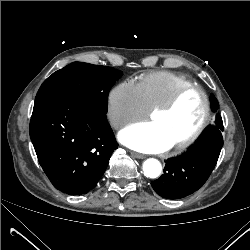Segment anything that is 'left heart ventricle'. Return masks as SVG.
Here are the masks:
<instances>
[{
  "label": "left heart ventricle",
  "mask_w": 250,
  "mask_h": 250,
  "mask_svg": "<svg viewBox=\"0 0 250 250\" xmlns=\"http://www.w3.org/2000/svg\"><path fill=\"white\" fill-rule=\"evenodd\" d=\"M203 112L201 95L191 91L185 94L170 112L151 117V122L175 144L195 131L202 120Z\"/></svg>",
  "instance_id": "1"
}]
</instances>
